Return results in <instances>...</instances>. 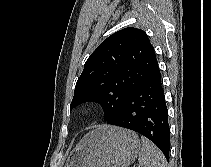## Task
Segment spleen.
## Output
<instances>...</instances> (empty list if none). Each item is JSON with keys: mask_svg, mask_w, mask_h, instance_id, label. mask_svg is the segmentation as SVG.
Returning a JSON list of instances; mask_svg holds the SVG:
<instances>
[{"mask_svg": "<svg viewBox=\"0 0 211 167\" xmlns=\"http://www.w3.org/2000/svg\"><path fill=\"white\" fill-rule=\"evenodd\" d=\"M142 149L139 154V167H167L163 153L146 137H141Z\"/></svg>", "mask_w": 211, "mask_h": 167, "instance_id": "obj_1", "label": "spleen"}]
</instances>
